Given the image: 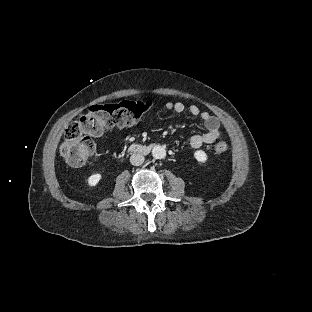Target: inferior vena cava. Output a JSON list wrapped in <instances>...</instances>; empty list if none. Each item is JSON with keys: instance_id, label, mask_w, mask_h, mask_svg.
<instances>
[{"instance_id": "obj_1", "label": "inferior vena cava", "mask_w": 312, "mask_h": 312, "mask_svg": "<svg viewBox=\"0 0 312 312\" xmlns=\"http://www.w3.org/2000/svg\"><path fill=\"white\" fill-rule=\"evenodd\" d=\"M144 160H145L144 156L138 153H134L130 157V163L134 166H139L143 164Z\"/></svg>"}]
</instances>
